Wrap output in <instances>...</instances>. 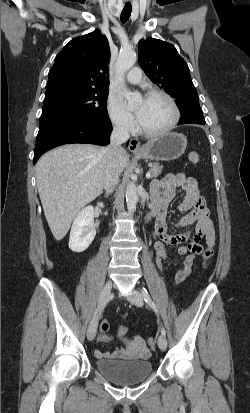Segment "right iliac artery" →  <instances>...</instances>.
<instances>
[{
    "label": "right iliac artery",
    "mask_w": 250,
    "mask_h": 413,
    "mask_svg": "<svg viewBox=\"0 0 250 413\" xmlns=\"http://www.w3.org/2000/svg\"><path fill=\"white\" fill-rule=\"evenodd\" d=\"M96 313H97V310L95 311L94 315H96Z\"/></svg>",
    "instance_id": "1"
}]
</instances>
